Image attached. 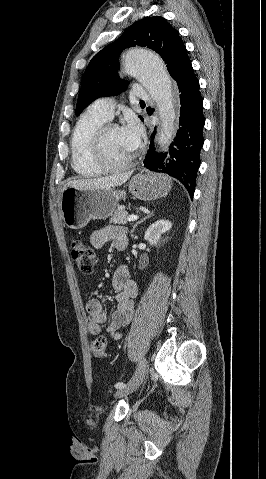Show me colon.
I'll use <instances>...</instances> for the list:
<instances>
[{
    "label": "colon",
    "instance_id": "colon-1",
    "mask_svg": "<svg viewBox=\"0 0 266 479\" xmlns=\"http://www.w3.org/2000/svg\"><path fill=\"white\" fill-rule=\"evenodd\" d=\"M71 256L79 271L88 275L93 271L96 263L94 251L81 239L73 238L71 241ZM107 340L105 337L96 338L91 345L96 357H104L106 353Z\"/></svg>",
    "mask_w": 266,
    "mask_h": 479
}]
</instances>
